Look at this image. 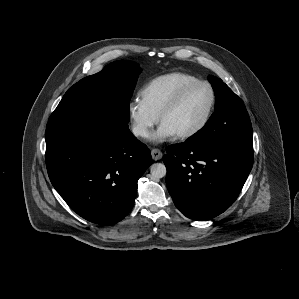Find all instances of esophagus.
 <instances>
[{
  "label": "esophagus",
  "mask_w": 299,
  "mask_h": 299,
  "mask_svg": "<svg viewBox=\"0 0 299 299\" xmlns=\"http://www.w3.org/2000/svg\"><path fill=\"white\" fill-rule=\"evenodd\" d=\"M151 155H152V158L157 161V160H160L162 158V152L159 150V149H152L151 150Z\"/></svg>",
  "instance_id": "esophagus-1"
}]
</instances>
